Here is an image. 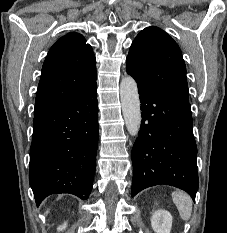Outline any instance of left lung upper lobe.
<instances>
[{"label": "left lung upper lobe", "mask_w": 227, "mask_h": 233, "mask_svg": "<svg viewBox=\"0 0 227 233\" xmlns=\"http://www.w3.org/2000/svg\"><path fill=\"white\" fill-rule=\"evenodd\" d=\"M126 69L137 83L189 102L181 50L162 29L151 26L137 35L126 59Z\"/></svg>", "instance_id": "left-lung-upper-lobe-1"}]
</instances>
